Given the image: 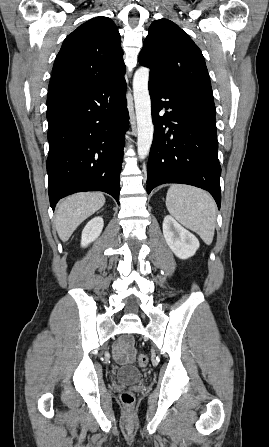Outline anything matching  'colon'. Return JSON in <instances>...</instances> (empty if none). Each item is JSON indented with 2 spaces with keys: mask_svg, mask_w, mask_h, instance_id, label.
<instances>
[{
  "mask_svg": "<svg viewBox=\"0 0 269 447\" xmlns=\"http://www.w3.org/2000/svg\"><path fill=\"white\" fill-rule=\"evenodd\" d=\"M130 346V342L127 343V347ZM127 352L129 353L128 348H126ZM140 367H145L148 364V357L145 355H140L136 357L135 359ZM120 401L124 406H131L135 402V396L134 394L129 391L125 390L120 395Z\"/></svg>",
  "mask_w": 269,
  "mask_h": 447,
  "instance_id": "obj_1",
  "label": "colon"
}]
</instances>
